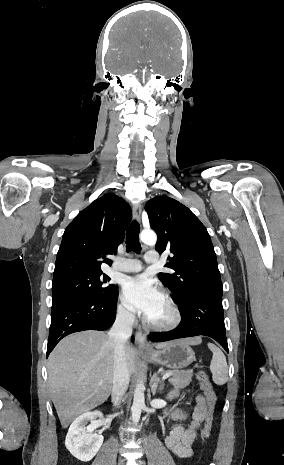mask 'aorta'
<instances>
[{"label": "aorta", "instance_id": "1", "mask_svg": "<svg viewBox=\"0 0 284 465\" xmlns=\"http://www.w3.org/2000/svg\"><path fill=\"white\" fill-rule=\"evenodd\" d=\"M140 239L145 244L154 245L157 241V236L154 231L146 230L142 231L140 234ZM144 391L145 386L142 381H139L134 391L133 405L131 407L132 420L134 423L139 422L142 409L145 406Z\"/></svg>", "mask_w": 284, "mask_h": 465}]
</instances>
